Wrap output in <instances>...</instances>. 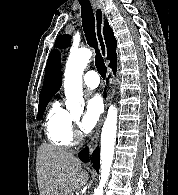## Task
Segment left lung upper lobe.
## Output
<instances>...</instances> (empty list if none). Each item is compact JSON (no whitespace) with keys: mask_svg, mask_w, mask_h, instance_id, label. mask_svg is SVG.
Returning <instances> with one entry per match:
<instances>
[{"mask_svg":"<svg viewBox=\"0 0 178 195\" xmlns=\"http://www.w3.org/2000/svg\"><path fill=\"white\" fill-rule=\"evenodd\" d=\"M71 42V36L64 34L63 36H58L55 41V46L61 47V48H67L70 45Z\"/></svg>","mask_w":178,"mask_h":195,"instance_id":"5c2ea615","label":"left lung upper lobe"}]
</instances>
